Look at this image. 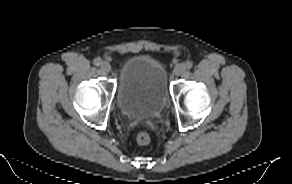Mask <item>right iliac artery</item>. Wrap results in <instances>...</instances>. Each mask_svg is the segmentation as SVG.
I'll return each mask as SVG.
<instances>
[{"label": "right iliac artery", "mask_w": 292, "mask_h": 184, "mask_svg": "<svg viewBox=\"0 0 292 184\" xmlns=\"http://www.w3.org/2000/svg\"><path fill=\"white\" fill-rule=\"evenodd\" d=\"M93 62L96 66H99L102 63V60L100 58H95Z\"/></svg>", "instance_id": "right-iliac-artery-1"}]
</instances>
